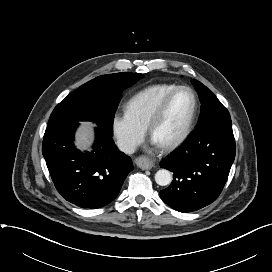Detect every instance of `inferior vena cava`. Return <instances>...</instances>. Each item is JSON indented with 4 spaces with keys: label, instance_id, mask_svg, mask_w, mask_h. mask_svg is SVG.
<instances>
[{
    "label": "inferior vena cava",
    "instance_id": "602c4592",
    "mask_svg": "<svg viewBox=\"0 0 272 272\" xmlns=\"http://www.w3.org/2000/svg\"><path fill=\"white\" fill-rule=\"evenodd\" d=\"M136 147H137V145L134 142L121 141V142L118 143V148L122 152H124L126 154H132V153H134L135 150H136Z\"/></svg>",
    "mask_w": 272,
    "mask_h": 272
}]
</instances>
